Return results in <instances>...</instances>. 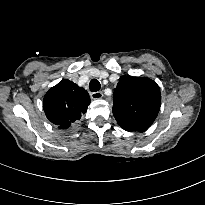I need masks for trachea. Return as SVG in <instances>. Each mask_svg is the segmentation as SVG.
Segmentation results:
<instances>
[{
    "instance_id": "1",
    "label": "trachea",
    "mask_w": 205,
    "mask_h": 205,
    "mask_svg": "<svg viewBox=\"0 0 205 205\" xmlns=\"http://www.w3.org/2000/svg\"><path fill=\"white\" fill-rule=\"evenodd\" d=\"M89 88L91 92H97L101 88V84L97 79H92L89 83Z\"/></svg>"
}]
</instances>
